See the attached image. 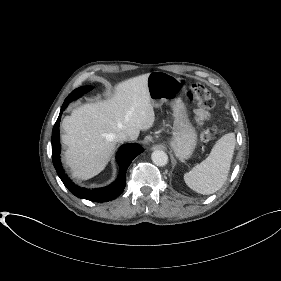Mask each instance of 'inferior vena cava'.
I'll return each instance as SVG.
<instances>
[{
	"instance_id": "inferior-vena-cava-1",
	"label": "inferior vena cava",
	"mask_w": 281,
	"mask_h": 281,
	"mask_svg": "<svg viewBox=\"0 0 281 281\" xmlns=\"http://www.w3.org/2000/svg\"><path fill=\"white\" fill-rule=\"evenodd\" d=\"M115 140L116 141H126V140H130V137L127 133L125 132H118L116 135H115Z\"/></svg>"
}]
</instances>
